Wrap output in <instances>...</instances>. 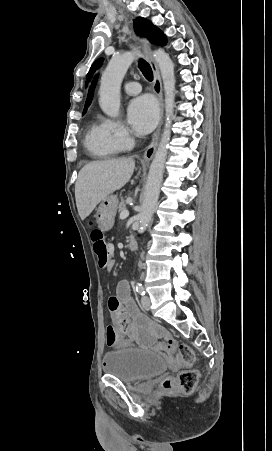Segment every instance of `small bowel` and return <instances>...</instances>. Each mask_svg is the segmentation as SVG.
<instances>
[{"mask_svg": "<svg viewBox=\"0 0 272 451\" xmlns=\"http://www.w3.org/2000/svg\"><path fill=\"white\" fill-rule=\"evenodd\" d=\"M114 266L115 260H110L106 267L112 269ZM108 307L112 313V318L121 315L129 321L128 328L119 333L123 340L122 344L133 341L142 348L159 352L164 349L165 343L158 341V339L164 338L165 340L166 336H172L155 322L139 316L132 301L129 286L125 281L116 285L115 293L109 297ZM155 330H158V332H155Z\"/></svg>", "mask_w": 272, "mask_h": 451, "instance_id": "c3829d8e", "label": "small bowel"}]
</instances>
